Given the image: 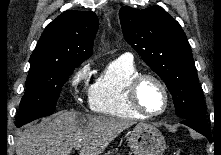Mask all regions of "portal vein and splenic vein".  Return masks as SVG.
<instances>
[{
  "label": "portal vein and splenic vein",
  "mask_w": 221,
  "mask_h": 155,
  "mask_svg": "<svg viewBox=\"0 0 221 155\" xmlns=\"http://www.w3.org/2000/svg\"><path fill=\"white\" fill-rule=\"evenodd\" d=\"M80 148H81V145H77V146L75 147L76 150H78V149H80Z\"/></svg>",
  "instance_id": "18ae733b"
}]
</instances>
